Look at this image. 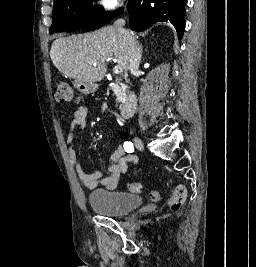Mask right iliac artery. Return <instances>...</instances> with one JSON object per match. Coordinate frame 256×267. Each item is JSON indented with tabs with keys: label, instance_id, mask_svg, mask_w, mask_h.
Masks as SVG:
<instances>
[{
	"label": "right iliac artery",
	"instance_id": "right-iliac-artery-1",
	"mask_svg": "<svg viewBox=\"0 0 256 267\" xmlns=\"http://www.w3.org/2000/svg\"><path fill=\"white\" fill-rule=\"evenodd\" d=\"M124 149L126 152L128 153H132L134 151V147H133V143L131 142H124V145H123Z\"/></svg>",
	"mask_w": 256,
	"mask_h": 267
}]
</instances>
